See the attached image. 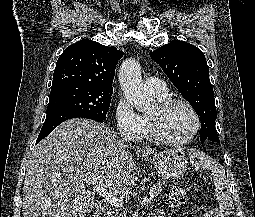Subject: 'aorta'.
Returning <instances> with one entry per match:
<instances>
[{
	"mask_svg": "<svg viewBox=\"0 0 255 217\" xmlns=\"http://www.w3.org/2000/svg\"><path fill=\"white\" fill-rule=\"evenodd\" d=\"M118 78L125 98L137 111L147 112L154 107L153 100L145 92L141 67L137 60H124L119 68Z\"/></svg>",
	"mask_w": 255,
	"mask_h": 217,
	"instance_id": "1",
	"label": "aorta"
}]
</instances>
